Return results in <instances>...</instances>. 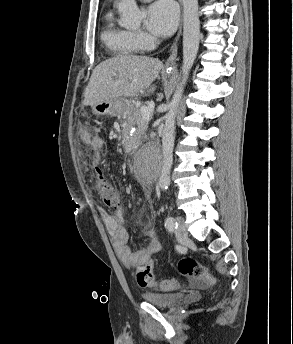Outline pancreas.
Masks as SVG:
<instances>
[{"instance_id":"cf45deb5","label":"pancreas","mask_w":293,"mask_h":344,"mask_svg":"<svg viewBox=\"0 0 293 344\" xmlns=\"http://www.w3.org/2000/svg\"><path fill=\"white\" fill-rule=\"evenodd\" d=\"M127 124L130 128L133 125H138L140 128L136 131L138 134L143 135L147 126L149 124V120H144L141 115V110L138 108H132L130 114L127 117ZM145 137H141L143 139Z\"/></svg>"}]
</instances>
